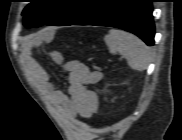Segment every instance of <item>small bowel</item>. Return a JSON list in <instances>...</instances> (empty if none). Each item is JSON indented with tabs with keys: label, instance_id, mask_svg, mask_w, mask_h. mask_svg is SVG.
I'll use <instances>...</instances> for the list:
<instances>
[{
	"label": "small bowel",
	"instance_id": "obj_1",
	"mask_svg": "<svg viewBox=\"0 0 182 140\" xmlns=\"http://www.w3.org/2000/svg\"><path fill=\"white\" fill-rule=\"evenodd\" d=\"M52 34L44 33V39L49 40ZM52 61L62 65L68 71V88L61 91L58 86L49 80L48 73L33 58L27 59V67L32 80L53 105L59 107L71 118H90L98 109L99 99L96 92L88 88L89 85L98 83L102 79V73L91 70L79 60L64 62L62 53L52 51Z\"/></svg>",
	"mask_w": 182,
	"mask_h": 140
}]
</instances>
